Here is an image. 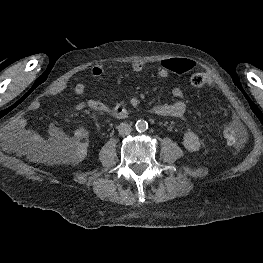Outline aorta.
Wrapping results in <instances>:
<instances>
[{
  "instance_id": "1",
  "label": "aorta",
  "mask_w": 263,
  "mask_h": 263,
  "mask_svg": "<svg viewBox=\"0 0 263 263\" xmlns=\"http://www.w3.org/2000/svg\"><path fill=\"white\" fill-rule=\"evenodd\" d=\"M135 127L137 131L144 132L148 128V123L145 120L141 119L136 122Z\"/></svg>"
}]
</instances>
